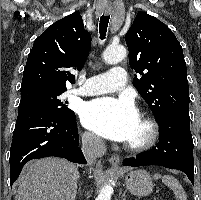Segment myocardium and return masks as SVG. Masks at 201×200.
I'll return each mask as SVG.
<instances>
[{
    "label": "myocardium",
    "instance_id": "myocardium-1",
    "mask_svg": "<svg viewBox=\"0 0 201 200\" xmlns=\"http://www.w3.org/2000/svg\"><path fill=\"white\" fill-rule=\"evenodd\" d=\"M138 115L147 127V136L141 142L126 144V148L132 152H141L150 149L156 144L160 134L159 125L150 114L140 112Z\"/></svg>",
    "mask_w": 201,
    "mask_h": 200
}]
</instances>
